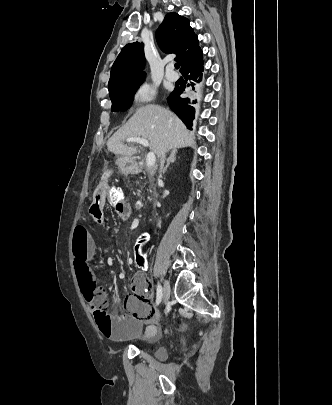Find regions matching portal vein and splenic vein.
Here are the masks:
<instances>
[{"label": "portal vein and splenic vein", "instance_id": "18ae733b", "mask_svg": "<svg viewBox=\"0 0 332 405\" xmlns=\"http://www.w3.org/2000/svg\"><path fill=\"white\" fill-rule=\"evenodd\" d=\"M126 142H134L141 144L144 147L149 146V141L145 138H139V137H130L126 139ZM156 161V156L154 152H149L146 157V163L148 167H152L155 164Z\"/></svg>", "mask_w": 332, "mask_h": 405}]
</instances>
